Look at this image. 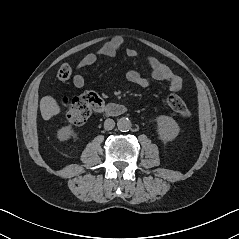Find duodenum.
<instances>
[{
	"instance_id": "duodenum-1",
	"label": "duodenum",
	"mask_w": 239,
	"mask_h": 239,
	"mask_svg": "<svg viewBox=\"0 0 239 239\" xmlns=\"http://www.w3.org/2000/svg\"><path fill=\"white\" fill-rule=\"evenodd\" d=\"M101 111L107 115L117 116L124 114L127 111V108L121 104L109 103L103 105Z\"/></svg>"
}]
</instances>
